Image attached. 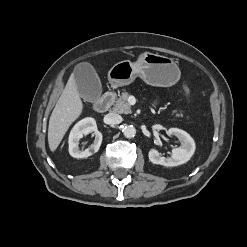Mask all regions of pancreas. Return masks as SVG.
<instances>
[{
	"label": "pancreas",
	"instance_id": "obj_1",
	"mask_svg": "<svg viewBox=\"0 0 247 247\" xmlns=\"http://www.w3.org/2000/svg\"><path fill=\"white\" fill-rule=\"evenodd\" d=\"M128 97H129V93L123 90L120 97L116 100L114 104L113 111L121 113V114L131 113V106L128 103ZM172 113L175 114L176 117H179V118L183 117V114L181 111L178 112L177 110H173Z\"/></svg>",
	"mask_w": 247,
	"mask_h": 247
}]
</instances>
